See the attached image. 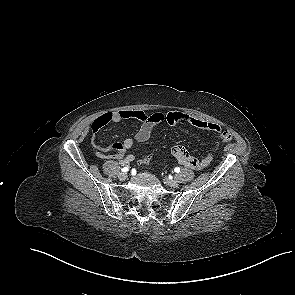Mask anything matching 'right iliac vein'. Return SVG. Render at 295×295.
<instances>
[{
    "label": "right iliac vein",
    "instance_id": "right-iliac-vein-1",
    "mask_svg": "<svg viewBox=\"0 0 295 295\" xmlns=\"http://www.w3.org/2000/svg\"><path fill=\"white\" fill-rule=\"evenodd\" d=\"M118 177L120 180H125L127 178V173H120Z\"/></svg>",
    "mask_w": 295,
    "mask_h": 295
}]
</instances>
